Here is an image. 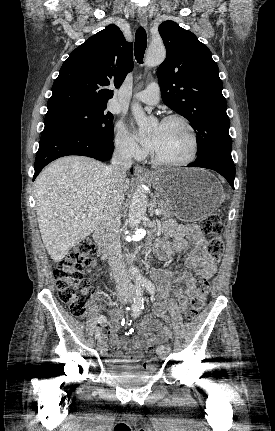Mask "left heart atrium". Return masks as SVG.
Segmentation results:
<instances>
[{"mask_svg": "<svg viewBox=\"0 0 275 431\" xmlns=\"http://www.w3.org/2000/svg\"><path fill=\"white\" fill-rule=\"evenodd\" d=\"M141 140L143 141L144 144H146L150 148H154L156 146V143H157L156 136L141 137Z\"/></svg>", "mask_w": 275, "mask_h": 431, "instance_id": "1", "label": "left heart atrium"}]
</instances>
